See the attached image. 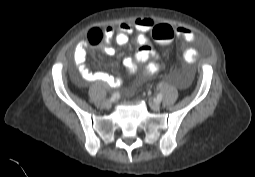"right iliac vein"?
Here are the masks:
<instances>
[{
	"label": "right iliac vein",
	"instance_id": "right-iliac-vein-1",
	"mask_svg": "<svg viewBox=\"0 0 255 177\" xmlns=\"http://www.w3.org/2000/svg\"><path fill=\"white\" fill-rule=\"evenodd\" d=\"M112 105V101L110 99H106L102 102V106L106 109L110 108Z\"/></svg>",
	"mask_w": 255,
	"mask_h": 177
}]
</instances>
